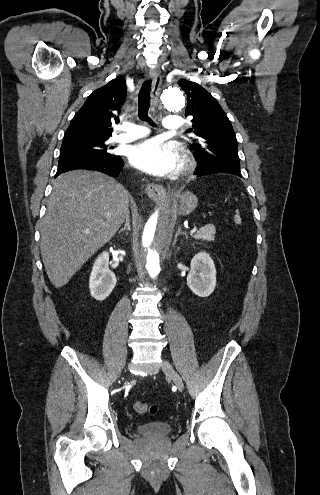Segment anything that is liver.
I'll use <instances>...</instances> for the list:
<instances>
[{"instance_id": "obj_1", "label": "liver", "mask_w": 320, "mask_h": 495, "mask_svg": "<svg viewBox=\"0 0 320 495\" xmlns=\"http://www.w3.org/2000/svg\"><path fill=\"white\" fill-rule=\"evenodd\" d=\"M129 214V193L104 174L62 173L53 182L41 226V256L60 288L115 235Z\"/></svg>"}]
</instances>
